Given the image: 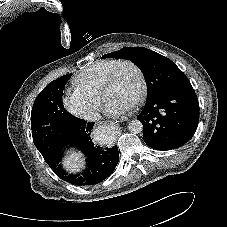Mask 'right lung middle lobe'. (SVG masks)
<instances>
[{
	"mask_svg": "<svg viewBox=\"0 0 227 227\" xmlns=\"http://www.w3.org/2000/svg\"><path fill=\"white\" fill-rule=\"evenodd\" d=\"M72 74L64 75L50 84L37 96L31 111L33 142L42 156L50 152L65 123L73 118L63 106L62 94Z\"/></svg>",
	"mask_w": 227,
	"mask_h": 227,
	"instance_id": "dd1d6c3e",
	"label": "right lung middle lobe"
}]
</instances>
